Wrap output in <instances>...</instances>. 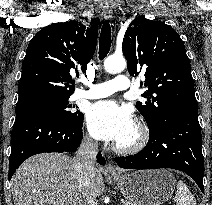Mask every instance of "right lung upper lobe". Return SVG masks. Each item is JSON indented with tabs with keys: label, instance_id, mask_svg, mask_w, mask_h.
<instances>
[{
	"label": "right lung upper lobe",
	"instance_id": "1",
	"mask_svg": "<svg viewBox=\"0 0 212 205\" xmlns=\"http://www.w3.org/2000/svg\"><path fill=\"white\" fill-rule=\"evenodd\" d=\"M97 30L95 21L86 27L74 20L40 30L26 51L19 97L42 92L71 95L75 87L70 73L86 70L96 49Z\"/></svg>",
	"mask_w": 212,
	"mask_h": 205
}]
</instances>
